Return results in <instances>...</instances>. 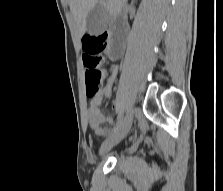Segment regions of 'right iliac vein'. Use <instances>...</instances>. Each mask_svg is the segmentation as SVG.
<instances>
[{
    "mask_svg": "<svg viewBox=\"0 0 223 191\" xmlns=\"http://www.w3.org/2000/svg\"><path fill=\"white\" fill-rule=\"evenodd\" d=\"M133 122V108H130L122 121L120 127L110 137H108L100 148V154L103 155L111 148L117 145L128 134Z\"/></svg>",
    "mask_w": 223,
    "mask_h": 191,
    "instance_id": "63e3f726",
    "label": "right iliac vein"
}]
</instances>
